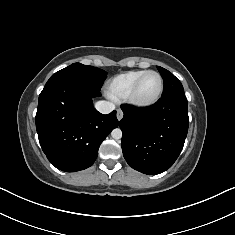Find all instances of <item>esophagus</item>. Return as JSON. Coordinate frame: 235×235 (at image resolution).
Here are the masks:
<instances>
[{
	"label": "esophagus",
	"mask_w": 235,
	"mask_h": 235,
	"mask_svg": "<svg viewBox=\"0 0 235 235\" xmlns=\"http://www.w3.org/2000/svg\"><path fill=\"white\" fill-rule=\"evenodd\" d=\"M123 118V112L121 109H117V119L120 121Z\"/></svg>",
	"instance_id": "34e87169"
}]
</instances>
